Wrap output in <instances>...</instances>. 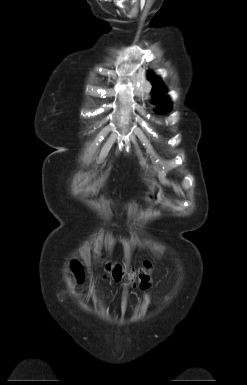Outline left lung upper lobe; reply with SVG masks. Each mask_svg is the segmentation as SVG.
Wrapping results in <instances>:
<instances>
[{
	"label": "left lung upper lobe",
	"mask_w": 247,
	"mask_h": 385,
	"mask_svg": "<svg viewBox=\"0 0 247 385\" xmlns=\"http://www.w3.org/2000/svg\"><path fill=\"white\" fill-rule=\"evenodd\" d=\"M148 79L152 82L153 90L152 94L155 96L153 103L159 108L156 109L158 113H167L170 111L171 103L168 97L164 95L166 92L160 79L155 77L154 74L149 73Z\"/></svg>",
	"instance_id": "1"
}]
</instances>
